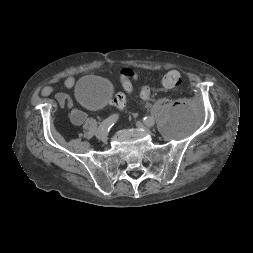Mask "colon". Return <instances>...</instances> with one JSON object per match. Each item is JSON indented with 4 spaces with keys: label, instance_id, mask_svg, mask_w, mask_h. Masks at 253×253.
<instances>
[{
    "label": "colon",
    "instance_id": "5ec220e1",
    "mask_svg": "<svg viewBox=\"0 0 253 253\" xmlns=\"http://www.w3.org/2000/svg\"><path fill=\"white\" fill-rule=\"evenodd\" d=\"M136 74L131 68H124L121 70V82L124 90L130 94L136 95L140 99H148L150 97V89L146 86L134 88L132 80L135 79ZM162 85L165 88H175L181 83V76L177 71H169L162 78ZM110 103L119 109L126 106V97L123 93H116L112 96Z\"/></svg>",
    "mask_w": 253,
    "mask_h": 253
}]
</instances>
